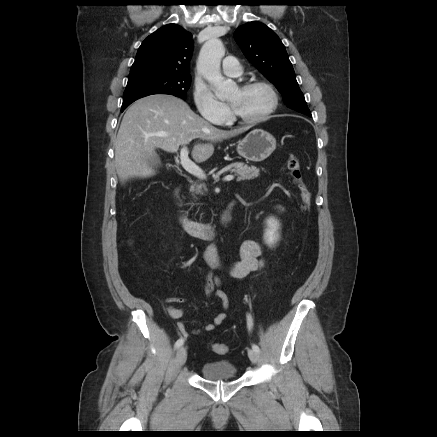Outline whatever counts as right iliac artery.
Segmentation results:
<instances>
[{"mask_svg": "<svg viewBox=\"0 0 437 437\" xmlns=\"http://www.w3.org/2000/svg\"><path fill=\"white\" fill-rule=\"evenodd\" d=\"M184 341L185 340L183 338L178 339L175 343V349H178L179 347H181L184 344Z\"/></svg>", "mask_w": 437, "mask_h": 437, "instance_id": "right-iliac-artery-1", "label": "right iliac artery"}]
</instances>
